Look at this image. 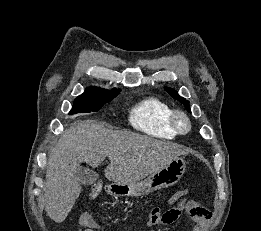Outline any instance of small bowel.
Masks as SVG:
<instances>
[{"instance_id": "obj_1", "label": "small bowel", "mask_w": 261, "mask_h": 231, "mask_svg": "<svg viewBox=\"0 0 261 231\" xmlns=\"http://www.w3.org/2000/svg\"><path fill=\"white\" fill-rule=\"evenodd\" d=\"M186 193L187 191L184 190ZM175 196L172 197L174 199ZM181 215V211L178 208H171L165 212H162L158 206L151 208L149 217L147 220V227L154 228L161 225H171L178 220ZM80 225L84 227L83 231H97L99 229L98 224L93 220L91 214L85 211L80 217ZM192 231H205V229L199 225L194 224Z\"/></svg>"}]
</instances>
